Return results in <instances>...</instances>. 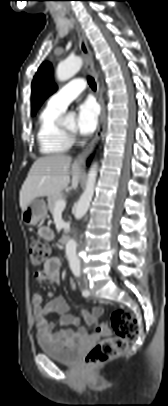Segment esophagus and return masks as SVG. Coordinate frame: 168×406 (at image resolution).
Wrapping results in <instances>:
<instances>
[{
    "label": "esophagus",
    "mask_w": 168,
    "mask_h": 406,
    "mask_svg": "<svg viewBox=\"0 0 168 406\" xmlns=\"http://www.w3.org/2000/svg\"><path fill=\"white\" fill-rule=\"evenodd\" d=\"M73 23H74L76 31L78 33L80 50L86 60L85 69L88 73H90L93 76V78L95 80L96 89H97V91H96L97 98H98V102L101 105L100 121H99V125L97 128L95 137L76 158V161L78 163L82 164V163H85L86 159L93 152L94 148L96 147V145L98 144V142L102 136L103 129H104V120H105V104H104V100H103L102 90L100 88V83H99L97 74L94 69L93 56H92V52L89 48L87 38L85 36L83 29L80 27V25L75 20H73Z\"/></svg>",
    "instance_id": "34e87169"
}]
</instances>
